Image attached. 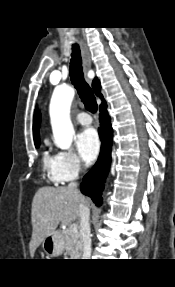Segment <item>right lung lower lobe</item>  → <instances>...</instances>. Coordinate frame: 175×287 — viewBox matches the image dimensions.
I'll list each match as a JSON object with an SVG mask.
<instances>
[{
  "mask_svg": "<svg viewBox=\"0 0 175 287\" xmlns=\"http://www.w3.org/2000/svg\"><path fill=\"white\" fill-rule=\"evenodd\" d=\"M100 128L98 129L102 148L99 158L93 168L84 176L81 183V192L89 196L93 202L100 206L102 204L101 193L104 188V182L108 174L111 162L112 146V126L110 116L107 112V104L100 106Z\"/></svg>",
  "mask_w": 175,
  "mask_h": 287,
  "instance_id": "obj_1",
  "label": "right lung lower lobe"
}]
</instances>
